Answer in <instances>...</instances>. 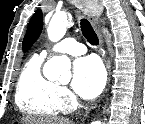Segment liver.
Listing matches in <instances>:
<instances>
[{"label":"liver","mask_w":145,"mask_h":124,"mask_svg":"<svg viewBox=\"0 0 145 124\" xmlns=\"http://www.w3.org/2000/svg\"><path fill=\"white\" fill-rule=\"evenodd\" d=\"M21 124H72L71 121L65 118L52 117H23Z\"/></svg>","instance_id":"6515ba94"}]
</instances>
